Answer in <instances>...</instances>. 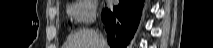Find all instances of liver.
<instances>
[{
  "instance_id": "obj_1",
  "label": "liver",
  "mask_w": 213,
  "mask_h": 48,
  "mask_svg": "<svg viewBox=\"0 0 213 48\" xmlns=\"http://www.w3.org/2000/svg\"><path fill=\"white\" fill-rule=\"evenodd\" d=\"M64 48H108V45L101 47L96 31L82 29L68 37Z\"/></svg>"
}]
</instances>
